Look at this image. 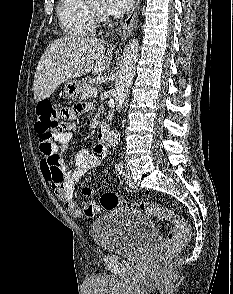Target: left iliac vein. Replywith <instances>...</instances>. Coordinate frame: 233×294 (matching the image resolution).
<instances>
[{
	"mask_svg": "<svg viewBox=\"0 0 233 294\" xmlns=\"http://www.w3.org/2000/svg\"><path fill=\"white\" fill-rule=\"evenodd\" d=\"M123 177H124V180L126 181V183L131 187V188H134L136 189L137 188V185L136 183L132 180L131 178V172L128 168H125L124 171H123Z\"/></svg>",
	"mask_w": 233,
	"mask_h": 294,
	"instance_id": "obj_1",
	"label": "left iliac vein"
}]
</instances>
